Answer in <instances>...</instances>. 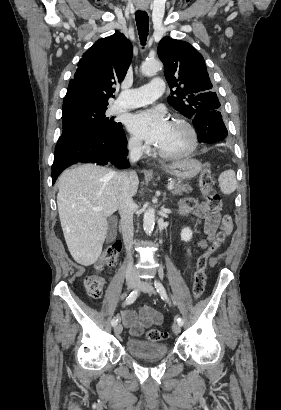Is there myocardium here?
I'll return each instance as SVG.
<instances>
[{
	"instance_id": "myocardium-1",
	"label": "myocardium",
	"mask_w": 281,
	"mask_h": 410,
	"mask_svg": "<svg viewBox=\"0 0 281 410\" xmlns=\"http://www.w3.org/2000/svg\"><path fill=\"white\" fill-rule=\"evenodd\" d=\"M171 122L177 123L179 125H181L182 127H184L189 135H190V144L187 148H185L182 151L179 152H166L164 150L159 149L158 147H156V151L157 153L166 159H177V158H183L186 157L188 155H190L191 153H193L197 146H198V133L196 128L194 127V125L189 122L187 119L180 117V116H176L174 117Z\"/></svg>"
}]
</instances>
